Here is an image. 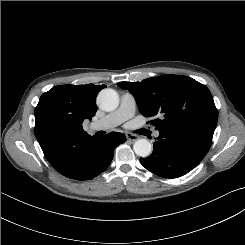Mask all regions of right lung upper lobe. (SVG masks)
<instances>
[{"instance_id": "right-lung-upper-lobe-1", "label": "right lung upper lobe", "mask_w": 245, "mask_h": 245, "mask_svg": "<svg viewBox=\"0 0 245 245\" xmlns=\"http://www.w3.org/2000/svg\"><path fill=\"white\" fill-rule=\"evenodd\" d=\"M106 85H61L44 93L35 108V136L52 166L63 160L69 145L91 138L82 122L96 111V96ZM95 136V135H94Z\"/></svg>"}]
</instances>
